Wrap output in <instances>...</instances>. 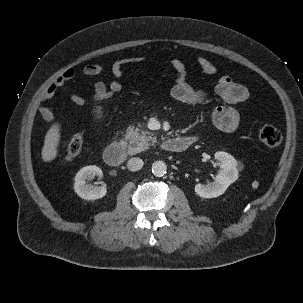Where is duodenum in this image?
<instances>
[{"instance_id": "obj_1", "label": "duodenum", "mask_w": 303, "mask_h": 303, "mask_svg": "<svg viewBox=\"0 0 303 303\" xmlns=\"http://www.w3.org/2000/svg\"><path fill=\"white\" fill-rule=\"evenodd\" d=\"M193 143L188 137L169 138L162 142L161 147L166 152L180 153ZM105 162L110 166L120 165L125 157V146L121 142H113L107 146L103 154Z\"/></svg>"}]
</instances>
